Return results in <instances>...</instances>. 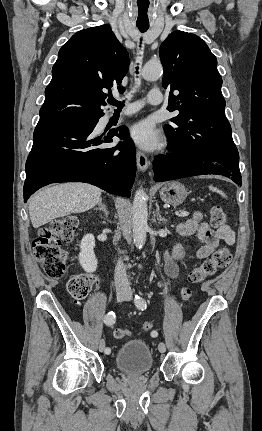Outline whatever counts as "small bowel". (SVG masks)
<instances>
[{"label":"small bowel","mask_w":262,"mask_h":431,"mask_svg":"<svg viewBox=\"0 0 262 431\" xmlns=\"http://www.w3.org/2000/svg\"><path fill=\"white\" fill-rule=\"evenodd\" d=\"M201 213H196L192 219L182 222L178 225L179 233L184 237H195L202 245L197 249V256L205 258L210 255L218 246L219 241L223 240L227 245H233L235 236L228 226L213 228L207 222H200ZM183 254V247L180 243L174 245L171 251L166 253L165 273L168 279H174L178 276L177 261ZM166 282L162 283V286ZM152 336V335H151Z\"/></svg>","instance_id":"c3829d8e"}]
</instances>
